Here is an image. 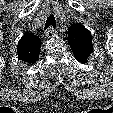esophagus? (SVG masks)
I'll return each instance as SVG.
<instances>
[{
  "mask_svg": "<svg viewBox=\"0 0 113 113\" xmlns=\"http://www.w3.org/2000/svg\"><path fill=\"white\" fill-rule=\"evenodd\" d=\"M56 30L53 27H50L48 30H46L45 35L46 37L50 38L56 34Z\"/></svg>",
  "mask_w": 113,
  "mask_h": 113,
  "instance_id": "obj_1",
  "label": "esophagus"
}]
</instances>
